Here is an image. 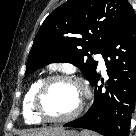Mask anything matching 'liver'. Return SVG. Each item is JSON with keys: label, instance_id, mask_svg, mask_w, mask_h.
I'll list each match as a JSON object with an SVG mask.
<instances>
[{"label": "liver", "instance_id": "6515ba94", "mask_svg": "<svg viewBox=\"0 0 136 136\" xmlns=\"http://www.w3.org/2000/svg\"><path fill=\"white\" fill-rule=\"evenodd\" d=\"M63 128H43V129H33L30 130L25 136H52L59 131H62Z\"/></svg>", "mask_w": 136, "mask_h": 136}]
</instances>
